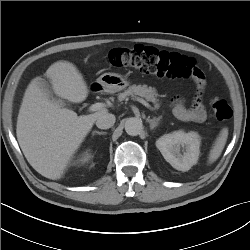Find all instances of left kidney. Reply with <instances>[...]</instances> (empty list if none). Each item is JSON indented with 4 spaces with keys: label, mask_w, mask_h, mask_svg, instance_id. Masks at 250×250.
Listing matches in <instances>:
<instances>
[{
    "label": "left kidney",
    "mask_w": 250,
    "mask_h": 250,
    "mask_svg": "<svg viewBox=\"0 0 250 250\" xmlns=\"http://www.w3.org/2000/svg\"><path fill=\"white\" fill-rule=\"evenodd\" d=\"M164 159L179 171H188L198 161L200 136L196 132L174 131L161 136L156 141ZM181 147L184 152L181 153Z\"/></svg>",
    "instance_id": "obj_1"
}]
</instances>
